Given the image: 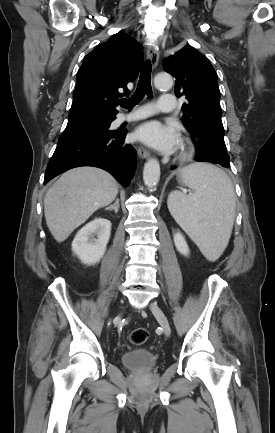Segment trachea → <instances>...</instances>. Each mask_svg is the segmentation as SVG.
I'll return each mask as SVG.
<instances>
[{
    "mask_svg": "<svg viewBox=\"0 0 275 433\" xmlns=\"http://www.w3.org/2000/svg\"><path fill=\"white\" fill-rule=\"evenodd\" d=\"M145 95L148 97L152 96L151 64L149 62H146L141 69L140 80L136 92L129 100H121L119 102L120 106L131 109L133 106L138 104Z\"/></svg>",
    "mask_w": 275,
    "mask_h": 433,
    "instance_id": "trachea-1",
    "label": "trachea"
}]
</instances>
